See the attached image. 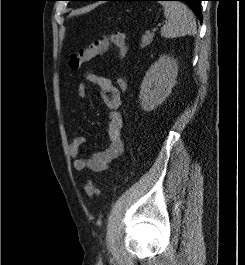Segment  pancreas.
Listing matches in <instances>:
<instances>
[{
    "label": "pancreas",
    "instance_id": "pancreas-1",
    "mask_svg": "<svg viewBox=\"0 0 245 265\" xmlns=\"http://www.w3.org/2000/svg\"><path fill=\"white\" fill-rule=\"evenodd\" d=\"M153 36H154L153 33L143 35L141 39L140 47L145 48L146 46H148L153 41Z\"/></svg>",
    "mask_w": 245,
    "mask_h": 265
}]
</instances>
